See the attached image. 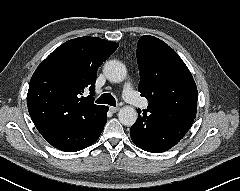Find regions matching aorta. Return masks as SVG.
Returning <instances> with one entry per match:
<instances>
[{
  "label": "aorta",
  "instance_id": "762f6f07",
  "mask_svg": "<svg viewBox=\"0 0 240 191\" xmlns=\"http://www.w3.org/2000/svg\"><path fill=\"white\" fill-rule=\"evenodd\" d=\"M103 73L110 82L120 83L125 80L127 69L122 62L110 60L105 63ZM137 117V111L131 106H124L118 112V119L124 126L134 125Z\"/></svg>",
  "mask_w": 240,
  "mask_h": 191
}]
</instances>
